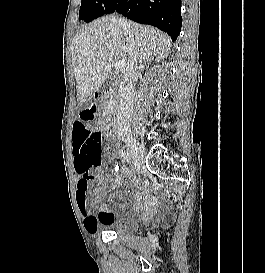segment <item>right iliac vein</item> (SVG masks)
I'll use <instances>...</instances> for the list:
<instances>
[{"label": "right iliac vein", "instance_id": "right-iliac-vein-1", "mask_svg": "<svg viewBox=\"0 0 265 273\" xmlns=\"http://www.w3.org/2000/svg\"><path fill=\"white\" fill-rule=\"evenodd\" d=\"M128 145L135 160V163L138 167V170H140L141 164L143 162V152L141 146L139 142L132 136L128 137Z\"/></svg>", "mask_w": 265, "mask_h": 273}]
</instances>
